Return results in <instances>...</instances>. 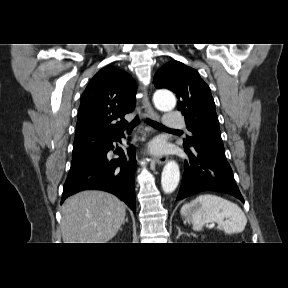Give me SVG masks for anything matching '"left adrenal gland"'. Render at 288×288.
I'll list each match as a JSON object with an SVG mask.
<instances>
[{"instance_id":"obj_1","label":"left adrenal gland","mask_w":288,"mask_h":288,"mask_svg":"<svg viewBox=\"0 0 288 288\" xmlns=\"http://www.w3.org/2000/svg\"><path fill=\"white\" fill-rule=\"evenodd\" d=\"M177 230H178V237L182 234H186V233L182 232L179 227H177Z\"/></svg>"}]
</instances>
